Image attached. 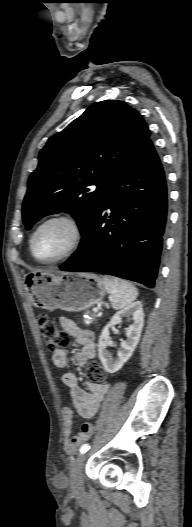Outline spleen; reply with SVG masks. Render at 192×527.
<instances>
[{
	"mask_svg": "<svg viewBox=\"0 0 192 527\" xmlns=\"http://www.w3.org/2000/svg\"><path fill=\"white\" fill-rule=\"evenodd\" d=\"M103 284L105 290L110 294L113 309L119 310L136 300L137 288L130 282L113 276H104Z\"/></svg>",
	"mask_w": 192,
	"mask_h": 527,
	"instance_id": "obj_1",
	"label": "spleen"
}]
</instances>
